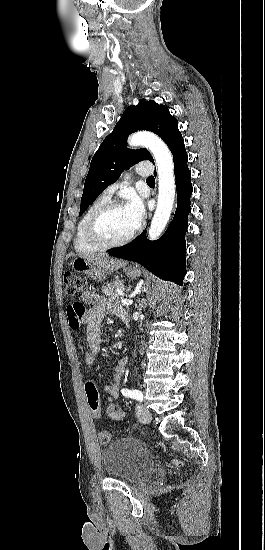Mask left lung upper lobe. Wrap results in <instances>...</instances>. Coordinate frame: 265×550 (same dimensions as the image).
Wrapping results in <instances>:
<instances>
[{"instance_id": "1", "label": "left lung upper lobe", "mask_w": 265, "mask_h": 550, "mask_svg": "<svg viewBox=\"0 0 265 550\" xmlns=\"http://www.w3.org/2000/svg\"><path fill=\"white\" fill-rule=\"evenodd\" d=\"M138 130L157 134L168 145L171 153L184 142L178 121L166 106L145 99H141L136 106H129L91 160L81 198L80 215L107 186L120 177L124 169L142 160L154 162L147 149L126 148L127 136Z\"/></svg>"}]
</instances>
